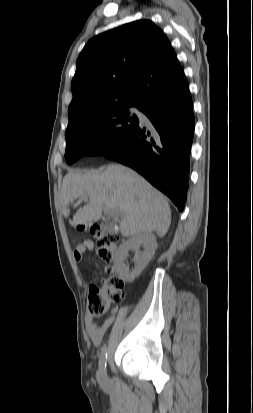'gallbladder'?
<instances>
[{"mask_svg":"<svg viewBox=\"0 0 253 413\" xmlns=\"http://www.w3.org/2000/svg\"><path fill=\"white\" fill-rule=\"evenodd\" d=\"M108 229H113V226L109 225V226H108Z\"/></svg>","mask_w":253,"mask_h":413,"instance_id":"obj_1","label":"gallbladder"}]
</instances>
